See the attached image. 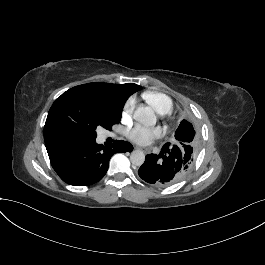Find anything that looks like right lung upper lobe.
Returning a JSON list of instances; mask_svg holds the SVG:
<instances>
[{"instance_id":"right-lung-upper-lobe-1","label":"right lung upper lobe","mask_w":265,"mask_h":265,"mask_svg":"<svg viewBox=\"0 0 265 265\" xmlns=\"http://www.w3.org/2000/svg\"><path fill=\"white\" fill-rule=\"evenodd\" d=\"M94 85H102V86H109L113 88L120 89L124 92H126L129 96L135 93L136 91L140 90L141 87L139 85L133 84V83H127L122 85L117 84H110V83H89ZM44 139H45V145L48 152L49 157L54 156L56 153L61 151L62 149L70 146V144L61 143L52 137L48 136L44 133Z\"/></svg>"}]
</instances>
